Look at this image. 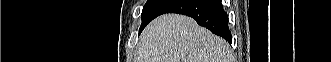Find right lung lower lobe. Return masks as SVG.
I'll return each instance as SVG.
<instances>
[{
  "instance_id": "obj_1",
  "label": "right lung lower lobe",
  "mask_w": 331,
  "mask_h": 62,
  "mask_svg": "<svg viewBox=\"0 0 331 62\" xmlns=\"http://www.w3.org/2000/svg\"><path fill=\"white\" fill-rule=\"evenodd\" d=\"M165 13H179L190 16L199 25L208 28L212 33L223 37L229 43L232 41L228 27V17L223 10L221 0H175L159 15Z\"/></svg>"
}]
</instances>
